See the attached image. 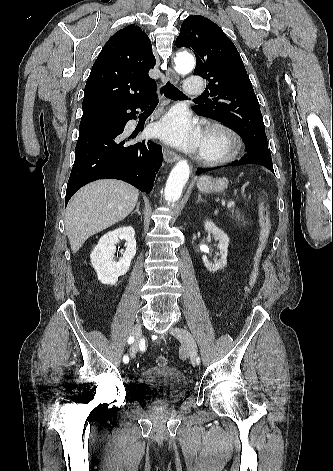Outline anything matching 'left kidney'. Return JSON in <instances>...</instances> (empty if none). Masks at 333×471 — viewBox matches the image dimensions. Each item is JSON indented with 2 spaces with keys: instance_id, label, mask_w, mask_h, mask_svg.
<instances>
[{
  "instance_id": "1",
  "label": "left kidney",
  "mask_w": 333,
  "mask_h": 471,
  "mask_svg": "<svg viewBox=\"0 0 333 471\" xmlns=\"http://www.w3.org/2000/svg\"><path fill=\"white\" fill-rule=\"evenodd\" d=\"M204 228L207 232L214 235L215 240H217L218 248L220 250L219 255L220 259H216L214 262H210L206 255L202 256L203 263L208 271L216 272L219 269H223L227 264V255H228V245L229 237L228 235L219 229L212 221L206 220L204 223Z\"/></svg>"
}]
</instances>
